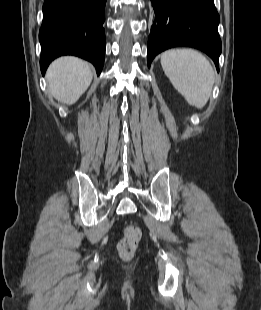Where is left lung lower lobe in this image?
Listing matches in <instances>:
<instances>
[{
	"label": "left lung lower lobe",
	"mask_w": 261,
	"mask_h": 310,
	"mask_svg": "<svg viewBox=\"0 0 261 310\" xmlns=\"http://www.w3.org/2000/svg\"><path fill=\"white\" fill-rule=\"evenodd\" d=\"M149 6L153 15L147 47L149 67L160 52L189 46L208 54L219 71L220 17L214 0H149Z\"/></svg>",
	"instance_id": "0a47b994"
}]
</instances>
